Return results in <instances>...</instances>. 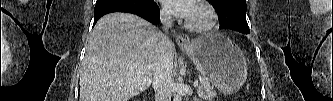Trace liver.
I'll return each mask as SVG.
<instances>
[{"label": "liver", "mask_w": 333, "mask_h": 101, "mask_svg": "<svg viewBox=\"0 0 333 101\" xmlns=\"http://www.w3.org/2000/svg\"><path fill=\"white\" fill-rule=\"evenodd\" d=\"M162 35L136 15L102 17L90 34L82 62L80 101H129L146 90L153 81Z\"/></svg>", "instance_id": "1"}]
</instances>
